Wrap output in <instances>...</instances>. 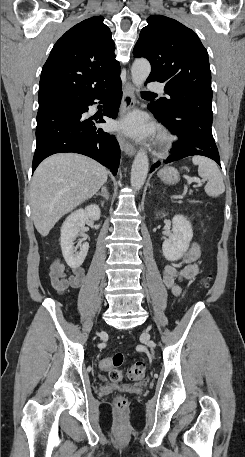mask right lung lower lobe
Wrapping results in <instances>:
<instances>
[{
  "mask_svg": "<svg viewBox=\"0 0 245 457\" xmlns=\"http://www.w3.org/2000/svg\"><path fill=\"white\" fill-rule=\"evenodd\" d=\"M122 98L121 79L89 95L57 102L37 113V146L33 157L32 171L46 157L60 152H75L89 156L117 174L120 148L114 135L95 127L105 120L87 118L88 106L95 100L107 103L104 115L115 119Z\"/></svg>",
  "mask_w": 245,
  "mask_h": 457,
  "instance_id": "1",
  "label": "right lung lower lobe"
}]
</instances>
